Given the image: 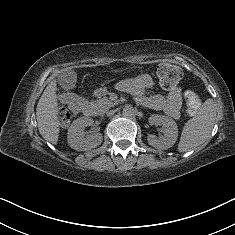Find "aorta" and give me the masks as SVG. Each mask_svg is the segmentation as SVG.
Here are the masks:
<instances>
[{"label": "aorta", "instance_id": "762f6f07", "mask_svg": "<svg viewBox=\"0 0 235 235\" xmlns=\"http://www.w3.org/2000/svg\"><path fill=\"white\" fill-rule=\"evenodd\" d=\"M122 113L126 117H131L134 114V108L131 105H125Z\"/></svg>", "mask_w": 235, "mask_h": 235}]
</instances>
